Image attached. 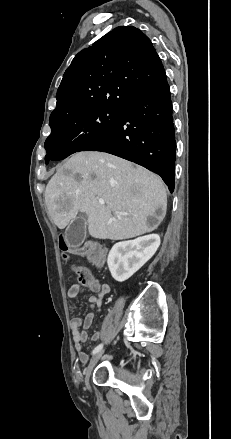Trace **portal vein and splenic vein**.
<instances>
[{
	"label": "portal vein and splenic vein",
	"mask_w": 231,
	"mask_h": 439,
	"mask_svg": "<svg viewBox=\"0 0 231 439\" xmlns=\"http://www.w3.org/2000/svg\"><path fill=\"white\" fill-rule=\"evenodd\" d=\"M99 203H100L101 205H104L105 202H104V200L101 199V200H99Z\"/></svg>",
	"instance_id": "18ae733b"
}]
</instances>
